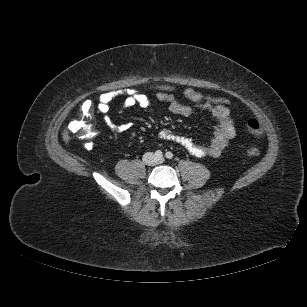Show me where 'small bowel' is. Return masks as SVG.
<instances>
[{
    "instance_id": "1",
    "label": "small bowel",
    "mask_w": 307,
    "mask_h": 307,
    "mask_svg": "<svg viewBox=\"0 0 307 307\" xmlns=\"http://www.w3.org/2000/svg\"><path fill=\"white\" fill-rule=\"evenodd\" d=\"M115 94L107 92L99 97L98 111L101 113L104 123L115 133L125 132L130 129L128 124L115 125L109 116L110 106L115 98ZM184 96L192 102L187 105L179 102L174 93L160 90L156 92V98L168 105V110L176 115L190 116L197 111H207L216 120L217 125L211 140L208 143H197L193 139L176 134L170 129H161L158 133L160 139L174 142L185 148L191 155L196 157H218L221 155L229 141L236 135L234 121L230 110L224 105H212L203 100V96L198 91L188 88L184 90ZM134 106L149 108L152 106L149 97L142 91L132 90L126 93L121 104V109H128Z\"/></svg>"
}]
</instances>
